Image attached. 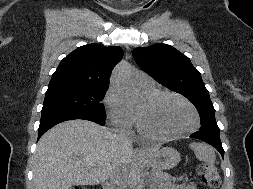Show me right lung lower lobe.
<instances>
[{"mask_svg": "<svg viewBox=\"0 0 253 189\" xmlns=\"http://www.w3.org/2000/svg\"><path fill=\"white\" fill-rule=\"evenodd\" d=\"M72 119H85L94 122H98L101 125H105V119H101L95 116L76 114V113H67V112H58V113H45L42 114L40 120V126L38 130V139L51 127L55 126L58 123L63 121L72 120Z\"/></svg>", "mask_w": 253, "mask_h": 189, "instance_id": "right-lung-lower-lobe-1", "label": "right lung lower lobe"}]
</instances>
